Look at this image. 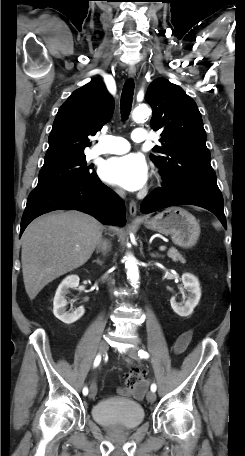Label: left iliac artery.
<instances>
[{"instance_id": "1", "label": "left iliac artery", "mask_w": 245, "mask_h": 456, "mask_svg": "<svg viewBox=\"0 0 245 456\" xmlns=\"http://www.w3.org/2000/svg\"><path fill=\"white\" fill-rule=\"evenodd\" d=\"M138 356H139L140 358H148V357H149V354H148L146 351H144V350H139V351H138ZM156 388H157V387H156V384L153 383V384L151 385V391L155 392V391H156Z\"/></svg>"}]
</instances>
